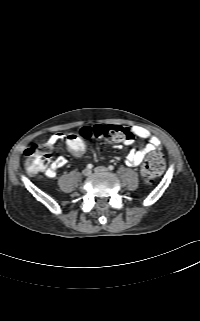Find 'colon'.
I'll list each match as a JSON object with an SVG mask.
<instances>
[{
  "label": "colon",
  "instance_id": "1",
  "mask_svg": "<svg viewBox=\"0 0 200 321\" xmlns=\"http://www.w3.org/2000/svg\"><path fill=\"white\" fill-rule=\"evenodd\" d=\"M99 138L112 143L130 144L134 133L128 127L120 125L84 126L78 133L68 136L66 146L75 155H81L86 150L84 139ZM26 167L31 173H38L48 164L51 154L47 145H31L25 152ZM164 170V159L160 153H152L145 161L141 173L148 183L153 182Z\"/></svg>",
  "mask_w": 200,
  "mask_h": 321
}]
</instances>
